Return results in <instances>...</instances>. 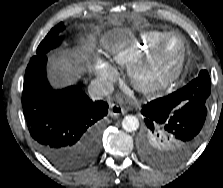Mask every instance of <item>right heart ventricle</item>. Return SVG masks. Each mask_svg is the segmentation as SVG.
<instances>
[{"mask_svg": "<svg viewBox=\"0 0 223 188\" xmlns=\"http://www.w3.org/2000/svg\"><path fill=\"white\" fill-rule=\"evenodd\" d=\"M167 33L169 32L163 30H146L135 38L134 46L107 47V50L114 62L129 67L152 51Z\"/></svg>", "mask_w": 223, "mask_h": 188, "instance_id": "obj_1", "label": "right heart ventricle"}]
</instances>
